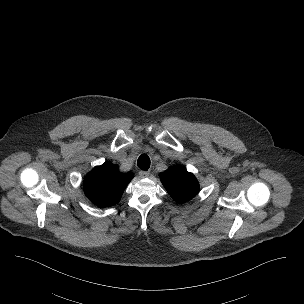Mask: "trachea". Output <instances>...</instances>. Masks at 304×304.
<instances>
[{
  "label": "trachea",
  "instance_id": "obj_1",
  "mask_svg": "<svg viewBox=\"0 0 304 304\" xmlns=\"http://www.w3.org/2000/svg\"><path fill=\"white\" fill-rule=\"evenodd\" d=\"M137 165L141 170H148L150 167V158L146 154H142L137 161Z\"/></svg>",
  "mask_w": 304,
  "mask_h": 304
}]
</instances>
